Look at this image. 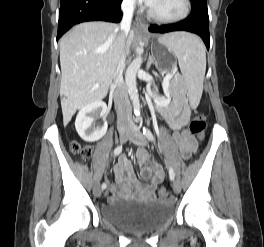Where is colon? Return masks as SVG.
<instances>
[{"label":"colon","instance_id":"obj_1","mask_svg":"<svg viewBox=\"0 0 264 247\" xmlns=\"http://www.w3.org/2000/svg\"><path fill=\"white\" fill-rule=\"evenodd\" d=\"M206 128L205 116L204 115H197L195 116L189 126V129L193 135L202 139L204 137V132ZM71 150L73 153L80 156L82 159H87L91 155V149L85 145H82L78 142H73L71 144ZM171 192L169 189L165 187H161L157 191V196L161 199H166L170 197Z\"/></svg>","mask_w":264,"mask_h":247}]
</instances>
